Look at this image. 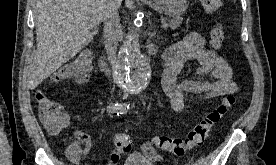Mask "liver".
I'll return each mask as SVG.
<instances>
[{
    "label": "liver",
    "mask_w": 276,
    "mask_h": 165,
    "mask_svg": "<svg viewBox=\"0 0 276 165\" xmlns=\"http://www.w3.org/2000/svg\"><path fill=\"white\" fill-rule=\"evenodd\" d=\"M112 1L36 0L37 49L28 74L30 89H35L93 40ZM121 2L115 1L118 7Z\"/></svg>",
    "instance_id": "obj_1"
}]
</instances>
